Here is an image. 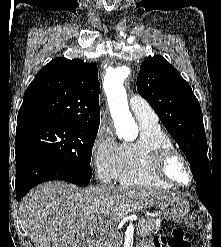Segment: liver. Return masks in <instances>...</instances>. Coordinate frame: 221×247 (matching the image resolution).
Wrapping results in <instances>:
<instances>
[{
  "mask_svg": "<svg viewBox=\"0 0 221 247\" xmlns=\"http://www.w3.org/2000/svg\"><path fill=\"white\" fill-rule=\"evenodd\" d=\"M174 196L172 192L141 187L79 189L51 181L31 189L19 211L35 247H76L89 229L108 230L128 214Z\"/></svg>",
  "mask_w": 221,
  "mask_h": 247,
  "instance_id": "obj_1",
  "label": "liver"
}]
</instances>
